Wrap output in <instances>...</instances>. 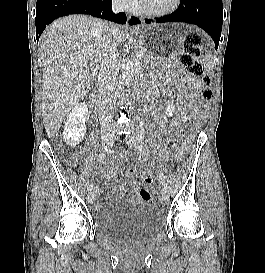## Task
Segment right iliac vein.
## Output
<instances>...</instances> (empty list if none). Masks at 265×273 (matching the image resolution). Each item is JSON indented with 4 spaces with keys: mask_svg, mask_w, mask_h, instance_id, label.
<instances>
[{
    "mask_svg": "<svg viewBox=\"0 0 265 273\" xmlns=\"http://www.w3.org/2000/svg\"><path fill=\"white\" fill-rule=\"evenodd\" d=\"M114 142V138L113 135L111 133H106L105 135H103L102 137V145L104 148L110 147ZM95 200V194L94 192H89L88 196H87V201L88 203H93Z\"/></svg>",
    "mask_w": 265,
    "mask_h": 273,
    "instance_id": "obj_1",
    "label": "right iliac vein"
}]
</instances>
